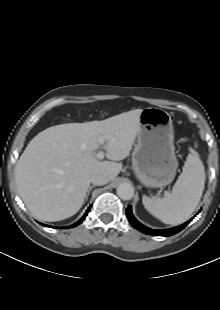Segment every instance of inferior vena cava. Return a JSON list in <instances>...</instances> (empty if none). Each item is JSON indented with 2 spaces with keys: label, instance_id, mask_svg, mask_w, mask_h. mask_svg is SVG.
<instances>
[{
  "label": "inferior vena cava",
  "instance_id": "inferior-vena-cava-1",
  "mask_svg": "<svg viewBox=\"0 0 220 310\" xmlns=\"http://www.w3.org/2000/svg\"><path fill=\"white\" fill-rule=\"evenodd\" d=\"M90 181L93 185L102 186L109 182V178L104 174H94Z\"/></svg>",
  "mask_w": 220,
  "mask_h": 310
}]
</instances>
